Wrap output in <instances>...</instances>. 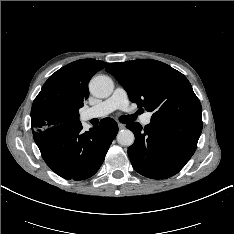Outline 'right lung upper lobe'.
<instances>
[{
    "instance_id": "right-lung-upper-lobe-1",
    "label": "right lung upper lobe",
    "mask_w": 234,
    "mask_h": 234,
    "mask_svg": "<svg viewBox=\"0 0 234 234\" xmlns=\"http://www.w3.org/2000/svg\"><path fill=\"white\" fill-rule=\"evenodd\" d=\"M106 63L95 59L72 62L44 83L31 109L32 131L78 123L79 109L89 96L88 82Z\"/></svg>"
}]
</instances>
